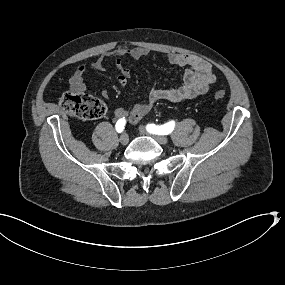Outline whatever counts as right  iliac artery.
Masks as SVG:
<instances>
[{
  "mask_svg": "<svg viewBox=\"0 0 285 285\" xmlns=\"http://www.w3.org/2000/svg\"><path fill=\"white\" fill-rule=\"evenodd\" d=\"M125 123H126V120H125L124 117L121 118V119H119V120L117 121V123H116V125H115V128H116V131H117L118 133H121V132L124 130V128H125Z\"/></svg>",
  "mask_w": 285,
  "mask_h": 285,
  "instance_id": "82829eb1",
  "label": "right iliac artery"
}]
</instances>
